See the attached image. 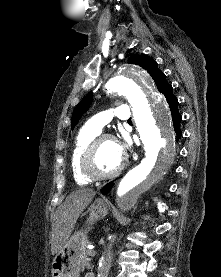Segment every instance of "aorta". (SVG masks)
Masks as SVG:
<instances>
[{"label": "aorta", "instance_id": "aorta-1", "mask_svg": "<svg viewBox=\"0 0 221 277\" xmlns=\"http://www.w3.org/2000/svg\"><path fill=\"white\" fill-rule=\"evenodd\" d=\"M106 89L127 98L145 150V157L121 179L117 189L122 209L129 210L170 168L175 155V135L168 105L142 68L124 67L108 80ZM112 252L109 242L98 259V277H104Z\"/></svg>", "mask_w": 221, "mask_h": 277}]
</instances>
